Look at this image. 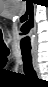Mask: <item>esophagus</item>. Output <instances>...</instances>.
I'll use <instances>...</instances> for the list:
<instances>
[{
	"label": "esophagus",
	"instance_id": "esophagus-1",
	"mask_svg": "<svg viewBox=\"0 0 48 87\" xmlns=\"http://www.w3.org/2000/svg\"><path fill=\"white\" fill-rule=\"evenodd\" d=\"M32 60H33V66L38 76H40L38 61H37V54L36 52H32Z\"/></svg>",
	"mask_w": 48,
	"mask_h": 87
}]
</instances>
